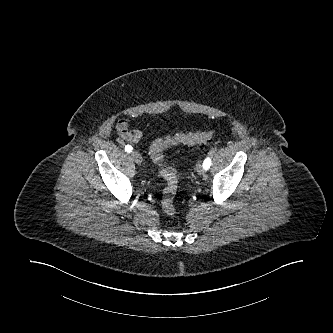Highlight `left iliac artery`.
Wrapping results in <instances>:
<instances>
[{"mask_svg":"<svg viewBox=\"0 0 333 333\" xmlns=\"http://www.w3.org/2000/svg\"><path fill=\"white\" fill-rule=\"evenodd\" d=\"M211 166V157H207L205 158V160L203 161V168L205 170H208Z\"/></svg>","mask_w":333,"mask_h":333,"instance_id":"44dca946","label":"left iliac artery"}]
</instances>
